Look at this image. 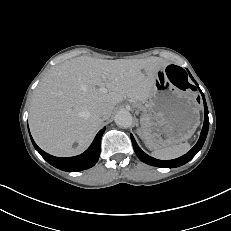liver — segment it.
Returning <instances> with one entry per match:
<instances>
[{"instance_id": "obj_1", "label": "liver", "mask_w": 231, "mask_h": 231, "mask_svg": "<svg viewBox=\"0 0 231 231\" xmlns=\"http://www.w3.org/2000/svg\"><path fill=\"white\" fill-rule=\"evenodd\" d=\"M166 66L158 57L103 60L87 56L54 66L32 97L29 126L35 142L54 156L82 153L103 122L98 112L106 109L111 115L125 98L148 101L156 73Z\"/></svg>"}]
</instances>
